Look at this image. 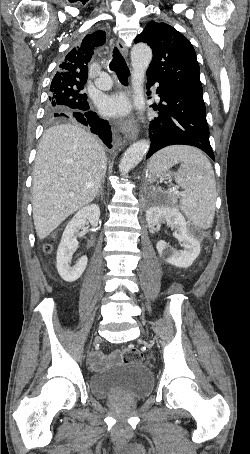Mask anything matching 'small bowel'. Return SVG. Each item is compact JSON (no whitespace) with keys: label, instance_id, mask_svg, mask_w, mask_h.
<instances>
[{"label":"small bowel","instance_id":"c3829d8e","mask_svg":"<svg viewBox=\"0 0 250 454\" xmlns=\"http://www.w3.org/2000/svg\"><path fill=\"white\" fill-rule=\"evenodd\" d=\"M90 362L94 368H100L105 364L106 359L102 353L95 351L90 356Z\"/></svg>","mask_w":250,"mask_h":454}]
</instances>
